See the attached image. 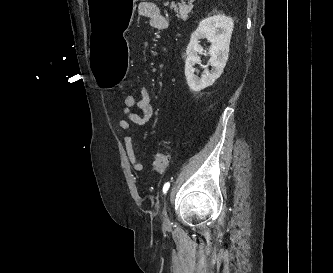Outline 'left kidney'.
Here are the masks:
<instances>
[{
    "label": "left kidney",
    "mask_w": 333,
    "mask_h": 273,
    "mask_svg": "<svg viewBox=\"0 0 333 273\" xmlns=\"http://www.w3.org/2000/svg\"><path fill=\"white\" fill-rule=\"evenodd\" d=\"M234 27L233 19L225 15H215L202 20L198 28L192 33L186 50L185 76L189 88L198 92L211 86L223 73L229 55V45ZM206 38L210 43L209 54L212 70L198 78L195 64L200 62L199 54L204 49L199 45V40Z\"/></svg>",
    "instance_id": "5707ae66"
}]
</instances>
